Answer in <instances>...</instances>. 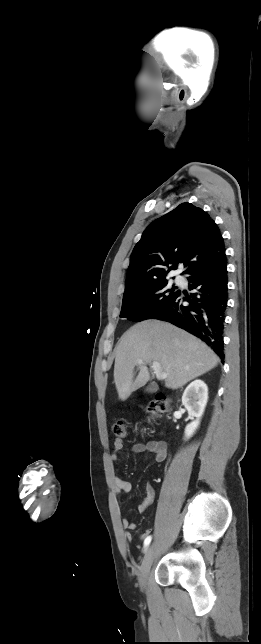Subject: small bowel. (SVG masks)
Instances as JSON below:
<instances>
[{
    "label": "small bowel",
    "mask_w": 261,
    "mask_h": 644,
    "mask_svg": "<svg viewBox=\"0 0 261 644\" xmlns=\"http://www.w3.org/2000/svg\"><path fill=\"white\" fill-rule=\"evenodd\" d=\"M122 448H123V441L118 438L115 439L114 448L110 456L112 461L115 462L119 460L120 452ZM131 451L135 454H141L145 452L151 453L154 455V459L156 462H162L167 457V446L164 442H161V441H150L148 443H135L132 445ZM114 485L117 492L129 493L132 490L131 483L126 480H123L118 476L114 477ZM145 493H146L145 497L137 507L138 512L140 513H143L146 510V508L151 504L155 496L154 488L150 484L146 485ZM121 524H122V527L126 530H135L137 527V525L134 522H131L126 517H123L121 519ZM150 532L151 531L149 529L145 530L141 534L140 539L145 540L148 536H150ZM124 536L127 541L133 540V535L131 534L130 531H126Z\"/></svg>",
    "instance_id": "small-bowel-1"
}]
</instances>
